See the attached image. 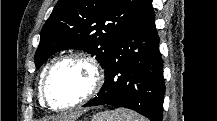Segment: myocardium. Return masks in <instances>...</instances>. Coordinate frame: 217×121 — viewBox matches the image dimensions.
Masks as SVG:
<instances>
[{
    "label": "myocardium",
    "mask_w": 217,
    "mask_h": 121,
    "mask_svg": "<svg viewBox=\"0 0 217 121\" xmlns=\"http://www.w3.org/2000/svg\"><path fill=\"white\" fill-rule=\"evenodd\" d=\"M76 60L83 61L91 67L92 72H93L92 85L89 91L83 97L78 99L76 102L66 105V106H56L52 103L51 98L49 96V92H48L51 77L59 66L67 62L76 61ZM103 82H104V69L101 63L91 54L77 51V52L62 56L52 63V65L47 70L45 77L43 79L42 97L44 101L46 102V104L50 107V109L54 111H58V112L68 111L70 109L76 108L90 101L100 91L103 85Z\"/></svg>",
    "instance_id": "obj_1"
}]
</instances>
